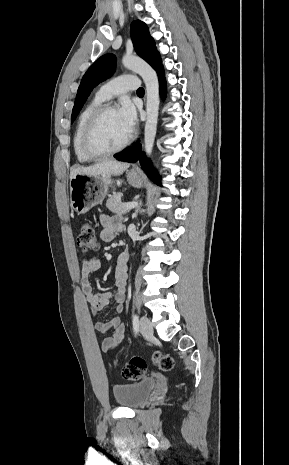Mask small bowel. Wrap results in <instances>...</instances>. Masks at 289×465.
<instances>
[{
	"instance_id": "obj_1",
	"label": "small bowel",
	"mask_w": 289,
	"mask_h": 465,
	"mask_svg": "<svg viewBox=\"0 0 289 465\" xmlns=\"http://www.w3.org/2000/svg\"><path fill=\"white\" fill-rule=\"evenodd\" d=\"M103 229L100 234L102 242H110L114 239L115 234L121 229L120 219L116 216H101ZM101 268V258L98 255L84 257L80 263V277L82 282L83 293L89 302L93 316H96L103 310L111 300L115 302V310L121 313L123 310V302L125 298L126 283L128 278L127 262H123L118 258L114 285L112 292L98 293L95 292L91 283L90 277L93 273ZM95 328L100 333L104 334V339L101 343V349L104 352H110L116 348L125 337V326L121 323L119 317H114L106 322H96Z\"/></svg>"
}]
</instances>
